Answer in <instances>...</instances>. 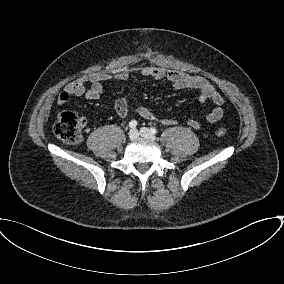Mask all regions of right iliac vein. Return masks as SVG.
I'll list each match as a JSON object with an SVG mask.
<instances>
[{"label":"right iliac vein","instance_id":"obj_1","mask_svg":"<svg viewBox=\"0 0 284 284\" xmlns=\"http://www.w3.org/2000/svg\"><path fill=\"white\" fill-rule=\"evenodd\" d=\"M130 140H135L139 137V133L136 129H131L128 133Z\"/></svg>","mask_w":284,"mask_h":284}]
</instances>
